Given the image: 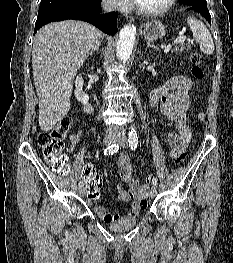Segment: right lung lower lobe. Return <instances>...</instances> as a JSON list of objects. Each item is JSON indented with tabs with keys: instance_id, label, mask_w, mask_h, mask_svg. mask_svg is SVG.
<instances>
[{
	"instance_id": "obj_1",
	"label": "right lung lower lobe",
	"mask_w": 233,
	"mask_h": 263,
	"mask_svg": "<svg viewBox=\"0 0 233 263\" xmlns=\"http://www.w3.org/2000/svg\"><path fill=\"white\" fill-rule=\"evenodd\" d=\"M100 11L101 0H79L75 9L70 13L55 14L42 20H37L34 34L49 22L65 19L87 21L109 35L115 34L118 30L116 25L118 13L110 12L107 14H99Z\"/></svg>"
}]
</instances>
